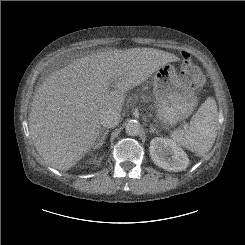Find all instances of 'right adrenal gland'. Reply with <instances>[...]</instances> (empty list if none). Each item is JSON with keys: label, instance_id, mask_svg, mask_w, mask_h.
Here are the masks:
<instances>
[{"label": "right adrenal gland", "instance_id": "obj_1", "mask_svg": "<svg viewBox=\"0 0 245 245\" xmlns=\"http://www.w3.org/2000/svg\"><path fill=\"white\" fill-rule=\"evenodd\" d=\"M108 132H109V130H105V131L102 130L100 132V135L97 139V143L95 144L94 149L100 148L104 144V140H105V137L108 134Z\"/></svg>", "mask_w": 245, "mask_h": 245}]
</instances>
